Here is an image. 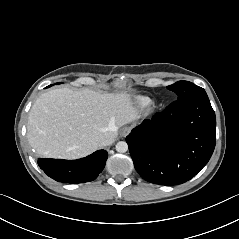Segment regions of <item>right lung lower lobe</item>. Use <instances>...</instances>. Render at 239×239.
I'll return each instance as SVG.
<instances>
[{
  "instance_id": "98d812e1",
  "label": "right lung lower lobe",
  "mask_w": 239,
  "mask_h": 239,
  "mask_svg": "<svg viewBox=\"0 0 239 239\" xmlns=\"http://www.w3.org/2000/svg\"><path fill=\"white\" fill-rule=\"evenodd\" d=\"M107 158L108 153L105 150H98L82 159H38V164L49 177L58 182L84 183L98 177Z\"/></svg>"
}]
</instances>
